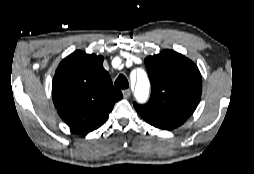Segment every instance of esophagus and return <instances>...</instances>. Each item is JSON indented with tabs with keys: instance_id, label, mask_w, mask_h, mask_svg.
<instances>
[{
	"instance_id": "34e87169",
	"label": "esophagus",
	"mask_w": 254,
	"mask_h": 174,
	"mask_svg": "<svg viewBox=\"0 0 254 174\" xmlns=\"http://www.w3.org/2000/svg\"><path fill=\"white\" fill-rule=\"evenodd\" d=\"M124 98H129L131 95V91L129 89L122 91Z\"/></svg>"
}]
</instances>
